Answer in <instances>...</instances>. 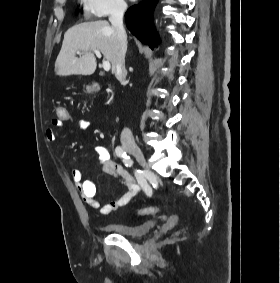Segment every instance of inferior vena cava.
Segmentation results:
<instances>
[{
  "label": "inferior vena cava",
  "mask_w": 280,
  "mask_h": 283,
  "mask_svg": "<svg viewBox=\"0 0 280 283\" xmlns=\"http://www.w3.org/2000/svg\"><path fill=\"white\" fill-rule=\"evenodd\" d=\"M127 9L125 2L117 3L111 11L109 20L115 29L118 40V54L116 62V78L123 82L127 76L125 67V54L127 51V35L123 26V15ZM121 143L124 145H134V137L129 128H124L121 132Z\"/></svg>",
  "instance_id": "obj_1"
}]
</instances>
